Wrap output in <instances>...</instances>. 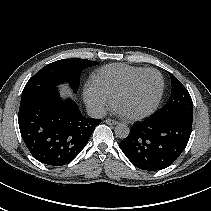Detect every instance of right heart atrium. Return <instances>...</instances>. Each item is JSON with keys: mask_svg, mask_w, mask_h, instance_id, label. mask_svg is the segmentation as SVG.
Wrapping results in <instances>:
<instances>
[{"mask_svg": "<svg viewBox=\"0 0 211 211\" xmlns=\"http://www.w3.org/2000/svg\"><path fill=\"white\" fill-rule=\"evenodd\" d=\"M84 96L88 106L96 113L104 112L111 102V96L93 82L86 85Z\"/></svg>", "mask_w": 211, "mask_h": 211, "instance_id": "obj_1", "label": "right heart atrium"}]
</instances>
